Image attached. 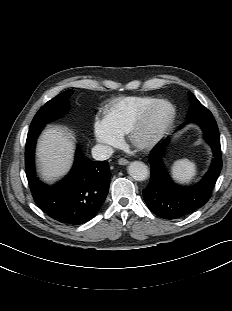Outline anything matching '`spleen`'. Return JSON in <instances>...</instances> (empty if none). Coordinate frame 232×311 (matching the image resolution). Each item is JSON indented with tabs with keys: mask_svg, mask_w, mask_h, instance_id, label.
<instances>
[{
	"mask_svg": "<svg viewBox=\"0 0 232 311\" xmlns=\"http://www.w3.org/2000/svg\"><path fill=\"white\" fill-rule=\"evenodd\" d=\"M171 170L174 180L180 183H188L196 175V165L188 159L175 161Z\"/></svg>",
	"mask_w": 232,
	"mask_h": 311,
	"instance_id": "3e777b00",
	"label": "spleen"
}]
</instances>
